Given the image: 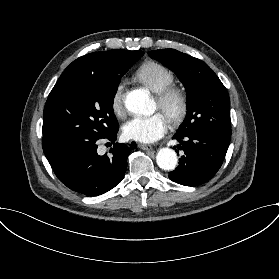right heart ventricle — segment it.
I'll use <instances>...</instances> for the list:
<instances>
[{"label":"right heart ventricle","instance_id":"1","mask_svg":"<svg viewBox=\"0 0 279 279\" xmlns=\"http://www.w3.org/2000/svg\"><path fill=\"white\" fill-rule=\"evenodd\" d=\"M136 78L153 92H160L175 82V75L171 69L160 62L148 60L136 70Z\"/></svg>","mask_w":279,"mask_h":279}]
</instances>
